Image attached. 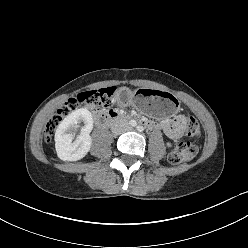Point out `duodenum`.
<instances>
[{"label": "duodenum", "mask_w": 248, "mask_h": 248, "mask_svg": "<svg viewBox=\"0 0 248 248\" xmlns=\"http://www.w3.org/2000/svg\"><path fill=\"white\" fill-rule=\"evenodd\" d=\"M96 119L100 124L106 125L112 122L123 120L124 117L117 112L108 111L103 114H97Z\"/></svg>", "instance_id": "1"}]
</instances>
